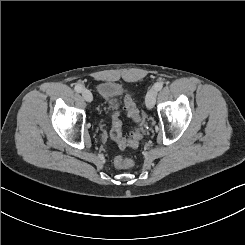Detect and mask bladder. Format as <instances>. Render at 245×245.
I'll return each mask as SVG.
<instances>
[{
  "mask_svg": "<svg viewBox=\"0 0 245 245\" xmlns=\"http://www.w3.org/2000/svg\"><path fill=\"white\" fill-rule=\"evenodd\" d=\"M122 89L118 83L103 81L99 83L98 92L101 99H118Z\"/></svg>",
  "mask_w": 245,
  "mask_h": 245,
  "instance_id": "bladder-1",
  "label": "bladder"
}]
</instances>
